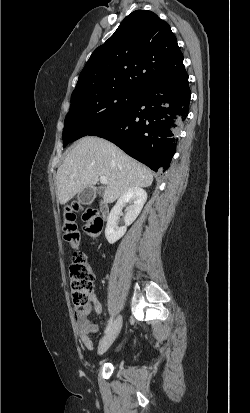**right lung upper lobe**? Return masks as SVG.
Returning <instances> with one entry per match:
<instances>
[{"label":"right lung upper lobe","mask_w":250,"mask_h":413,"mask_svg":"<svg viewBox=\"0 0 250 413\" xmlns=\"http://www.w3.org/2000/svg\"><path fill=\"white\" fill-rule=\"evenodd\" d=\"M184 74L183 55L170 26L151 11L136 10L92 53L72 94L118 87L140 90Z\"/></svg>","instance_id":"obj_1"}]
</instances>
